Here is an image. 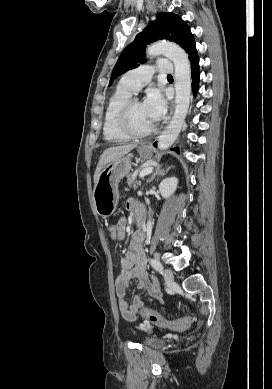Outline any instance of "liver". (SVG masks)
<instances>
[{
  "instance_id": "obj_1",
  "label": "liver",
  "mask_w": 272,
  "mask_h": 389,
  "mask_svg": "<svg viewBox=\"0 0 272 389\" xmlns=\"http://www.w3.org/2000/svg\"><path fill=\"white\" fill-rule=\"evenodd\" d=\"M136 147H137L136 143H130V144H125V145L107 148L101 154L99 162L97 164L95 174H94V184L96 185V183L98 181L99 174L106 164H108L116 159H119L123 155L128 154L130 151H132Z\"/></svg>"
}]
</instances>
